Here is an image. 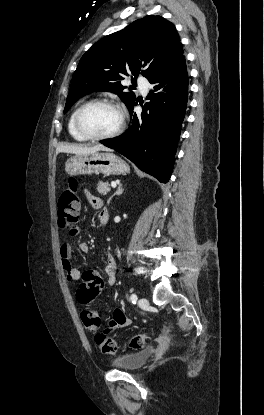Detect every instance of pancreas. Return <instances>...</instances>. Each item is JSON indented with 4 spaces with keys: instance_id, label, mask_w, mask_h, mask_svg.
<instances>
[{
    "instance_id": "cf45deb5",
    "label": "pancreas",
    "mask_w": 264,
    "mask_h": 415,
    "mask_svg": "<svg viewBox=\"0 0 264 415\" xmlns=\"http://www.w3.org/2000/svg\"><path fill=\"white\" fill-rule=\"evenodd\" d=\"M97 191L99 194L106 195L110 191V184L108 182L99 181L97 184Z\"/></svg>"
}]
</instances>
